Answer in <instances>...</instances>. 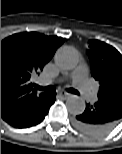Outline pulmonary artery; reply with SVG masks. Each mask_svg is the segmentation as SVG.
<instances>
[{
	"label": "pulmonary artery",
	"instance_id": "obj_1",
	"mask_svg": "<svg viewBox=\"0 0 122 154\" xmlns=\"http://www.w3.org/2000/svg\"><path fill=\"white\" fill-rule=\"evenodd\" d=\"M71 77L74 79L77 88L86 99H90L93 102L97 100L96 94L92 91L87 80V69L85 67H77L72 72Z\"/></svg>",
	"mask_w": 122,
	"mask_h": 154
}]
</instances>
